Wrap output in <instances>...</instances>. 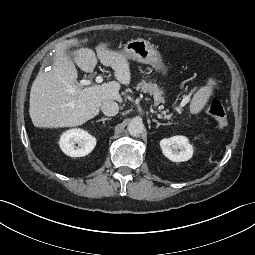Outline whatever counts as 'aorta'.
Instances as JSON below:
<instances>
[{
	"label": "aorta",
	"instance_id": "aorta-1",
	"mask_svg": "<svg viewBox=\"0 0 255 255\" xmlns=\"http://www.w3.org/2000/svg\"><path fill=\"white\" fill-rule=\"evenodd\" d=\"M131 136H138L144 131V124L140 119H133L127 126Z\"/></svg>",
	"mask_w": 255,
	"mask_h": 255
}]
</instances>
